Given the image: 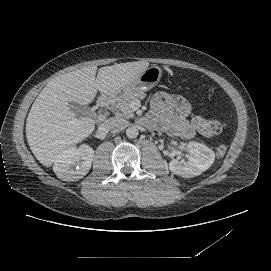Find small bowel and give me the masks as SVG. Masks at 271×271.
I'll use <instances>...</instances> for the list:
<instances>
[{"instance_id":"1","label":"small bowel","mask_w":271,"mask_h":271,"mask_svg":"<svg viewBox=\"0 0 271 271\" xmlns=\"http://www.w3.org/2000/svg\"><path fill=\"white\" fill-rule=\"evenodd\" d=\"M153 115L168 133L191 138L194 129L188 121L192 113L190 103L181 96L158 92L151 101Z\"/></svg>"}]
</instances>
